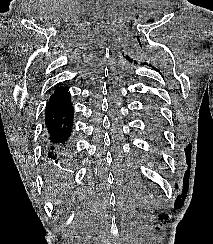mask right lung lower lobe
I'll return each mask as SVG.
<instances>
[{
    "instance_id": "98d812e1",
    "label": "right lung lower lobe",
    "mask_w": 213,
    "mask_h": 244,
    "mask_svg": "<svg viewBox=\"0 0 213 244\" xmlns=\"http://www.w3.org/2000/svg\"><path fill=\"white\" fill-rule=\"evenodd\" d=\"M73 116L74 108L68 89L57 87L45 108L48 158L55 160V163L66 160L72 154Z\"/></svg>"
}]
</instances>
